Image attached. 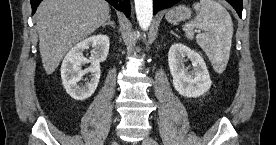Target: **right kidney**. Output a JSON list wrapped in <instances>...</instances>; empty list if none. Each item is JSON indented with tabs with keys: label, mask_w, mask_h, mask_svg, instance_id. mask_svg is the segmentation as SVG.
<instances>
[{
	"label": "right kidney",
	"mask_w": 276,
	"mask_h": 145,
	"mask_svg": "<svg viewBox=\"0 0 276 145\" xmlns=\"http://www.w3.org/2000/svg\"><path fill=\"white\" fill-rule=\"evenodd\" d=\"M93 47L90 59L83 56V51ZM109 37L104 34L93 35L76 44L64 57L61 65V78L66 92L77 101H84L95 92L100 75V63L105 61L109 52ZM90 62L91 66L82 70V65ZM91 73V79L86 85L77 83L86 73Z\"/></svg>",
	"instance_id": "1"
}]
</instances>
